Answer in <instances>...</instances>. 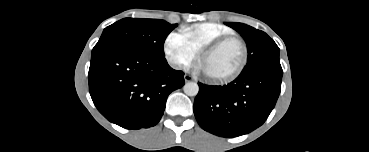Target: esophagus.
I'll return each instance as SVG.
<instances>
[{
	"instance_id": "esophagus-1",
	"label": "esophagus",
	"mask_w": 369,
	"mask_h": 152,
	"mask_svg": "<svg viewBox=\"0 0 369 152\" xmlns=\"http://www.w3.org/2000/svg\"><path fill=\"white\" fill-rule=\"evenodd\" d=\"M184 80H185V82H189V81H193L194 79H193V77H192V76H190V75H188V74H185V75H184Z\"/></svg>"
}]
</instances>
